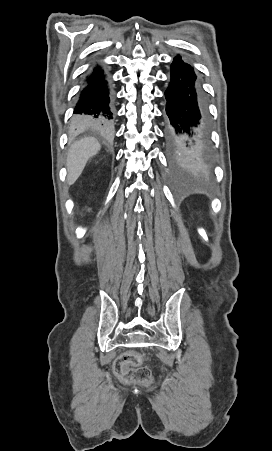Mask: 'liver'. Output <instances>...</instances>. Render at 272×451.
<instances>
[{
  "mask_svg": "<svg viewBox=\"0 0 272 451\" xmlns=\"http://www.w3.org/2000/svg\"><path fill=\"white\" fill-rule=\"evenodd\" d=\"M99 150H101V146L95 138H83V140L72 144L66 160L68 170L66 182L69 186H72L76 182L77 178L82 174L89 158L96 156Z\"/></svg>",
  "mask_w": 272,
  "mask_h": 451,
  "instance_id": "1",
  "label": "liver"
}]
</instances>
